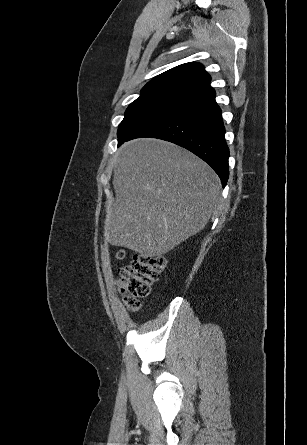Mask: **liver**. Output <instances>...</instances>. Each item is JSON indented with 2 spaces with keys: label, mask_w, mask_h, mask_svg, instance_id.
Masks as SVG:
<instances>
[{
  "label": "liver",
  "mask_w": 307,
  "mask_h": 445,
  "mask_svg": "<svg viewBox=\"0 0 307 445\" xmlns=\"http://www.w3.org/2000/svg\"><path fill=\"white\" fill-rule=\"evenodd\" d=\"M115 204L105 237L140 257H162L205 229L220 204L221 182L193 152L159 138H136L119 148Z\"/></svg>",
  "instance_id": "6515ba94"
}]
</instances>
